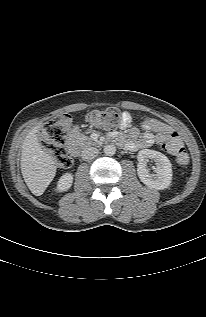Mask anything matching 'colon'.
<instances>
[{"instance_id":"1","label":"colon","mask_w":206,"mask_h":317,"mask_svg":"<svg viewBox=\"0 0 206 317\" xmlns=\"http://www.w3.org/2000/svg\"><path fill=\"white\" fill-rule=\"evenodd\" d=\"M123 113L118 108L93 110L86 116L88 124L103 129H116L121 126ZM71 127V118L65 114L48 123L40 132V140L56 158L57 165L62 169L69 168L73 160L66 148V138ZM162 148L175 156L177 163L185 167L188 156L184 145L176 132L168 134L161 141Z\"/></svg>"}]
</instances>
